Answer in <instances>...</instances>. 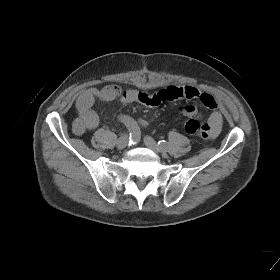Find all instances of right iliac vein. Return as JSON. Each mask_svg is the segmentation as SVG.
<instances>
[{
	"mask_svg": "<svg viewBox=\"0 0 280 280\" xmlns=\"http://www.w3.org/2000/svg\"><path fill=\"white\" fill-rule=\"evenodd\" d=\"M128 144V136L127 135H122L119 137L117 141V148L118 149H124Z\"/></svg>",
	"mask_w": 280,
	"mask_h": 280,
	"instance_id": "63e3f726",
	"label": "right iliac vein"
}]
</instances>
